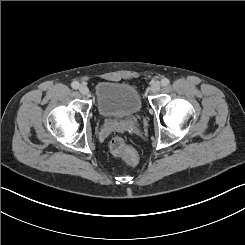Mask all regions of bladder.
Instances as JSON below:
<instances>
[{"label":"bladder","instance_id":"obj_1","mask_svg":"<svg viewBox=\"0 0 245 245\" xmlns=\"http://www.w3.org/2000/svg\"><path fill=\"white\" fill-rule=\"evenodd\" d=\"M96 105L101 116L111 119L134 116L142 108L141 99L133 86L110 82L96 85Z\"/></svg>","mask_w":245,"mask_h":245}]
</instances>
